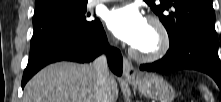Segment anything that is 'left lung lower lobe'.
Wrapping results in <instances>:
<instances>
[{"instance_id": "0a47b994", "label": "left lung lower lobe", "mask_w": 221, "mask_h": 102, "mask_svg": "<svg viewBox=\"0 0 221 102\" xmlns=\"http://www.w3.org/2000/svg\"><path fill=\"white\" fill-rule=\"evenodd\" d=\"M140 69L152 72L198 70L210 75L220 87L221 63L217 46L197 35H185L170 43L168 52L161 60L141 65Z\"/></svg>"}]
</instances>
